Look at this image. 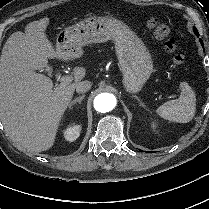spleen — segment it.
<instances>
[{
	"label": "spleen",
	"mask_w": 209,
	"mask_h": 209,
	"mask_svg": "<svg viewBox=\"0 0 209 209\" xmlns=\"http://www.w3.org/2000/svg\"><path fill=\"white\" fill-rule=\"evenodd\" d=\"M180 96L176 100H170L158 107L156 110L162 118L187 123L191 121L196 111V96L193 89L186 83H180Z\"/></svg>",
	"instance_id": "1"
}]
</instances>
